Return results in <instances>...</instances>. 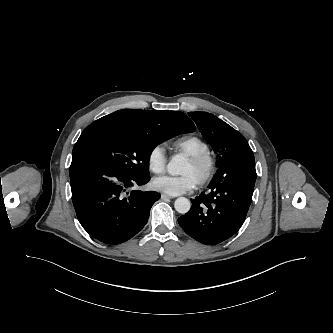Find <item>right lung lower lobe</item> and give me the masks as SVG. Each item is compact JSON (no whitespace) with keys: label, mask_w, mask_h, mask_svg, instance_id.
Returning <instances> with one entry per match:
<instances>
[{"label":"right lung lower lobe","mask_w":333,"mask_h":333,"mask_svg":"<svg viewBox=\"0 0 333 333\" xmlns=\"http://www.w3.org/2000/svg\"><path fill=\"white\" fill-rule=\"evenodd\" d=\"M69 173L79 222L92 237L107 244H120L136 235L159 199L155 191H130L134 185L146 184L150 176L124 174L86 153L73 154Z\"/></svg>","instance_id":"98d812e1"}]
</instances>
